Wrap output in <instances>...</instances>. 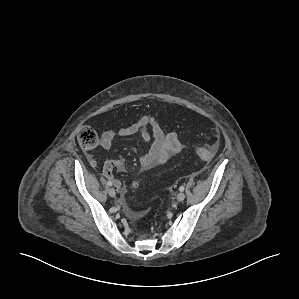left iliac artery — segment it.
<instances>
[{"mask_svg":"<svg viewBox=\"0 0 299 299\" xmlns=\"http://www.w3.org/2000/svg\"><path fill=\"white\" fill-rule=\"evenodd\" d=\"M185 187L184 186H180L179 190L182 192L184 191Z\"/></svg>","mask_w":299,"mask_h":299,"instance_id":"obj_1","label":"left iliac artery"}]
</instances>
